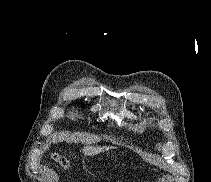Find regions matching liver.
I'll list each match as a JSON object with an SVG mask.
<instances>
[{
  "label": "liver",
  "instance_id": "obj_1",
  "mask_svg": "<svg viewBox=\"0 0 211 182\" xmlns=\"http://www.w3.org/2000/svg\"><path fill=\"white\" fill-rule=\"evenodd\" d=\"M111 149V147H94V146H86L83 148V153L86 156H93V155H97L105 150Z\"/></svg>",
  "mask_w": 211,
  "mask_h": 182
}]
</instances>
